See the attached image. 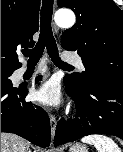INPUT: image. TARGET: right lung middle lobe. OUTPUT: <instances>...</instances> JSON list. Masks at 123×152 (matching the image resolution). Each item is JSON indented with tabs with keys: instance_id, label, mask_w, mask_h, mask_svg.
<instances>
[{
	"instance_id": "right-lung-middle-lobe-1",
	"label": "right lung middle lobe",
	"mask_w": 123,
	"mask_h": 152,
	"mask_svg": "<svg viewBox=\"0 0 123 152\" xmlns=\"http://www.w3.org/2000/svg\"><path fill=\"white\" fill-rule=\"evenodd\" d=\"M13 72L14 69L1 68V86L12 85V82L9 77L12 75Z\"/></svg>"
}]
</instances>
